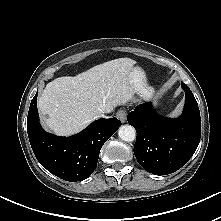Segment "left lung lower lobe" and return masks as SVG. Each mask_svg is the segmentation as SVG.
<instances>
[{"label": "left lung lower lobe", "mask_w": 221, "mask_h": 221, "mask_svg": "<svg viewBox=\"0 0 221 221\" xmlns=\"http://www.w3.org/2000/svg\"><path fill=\"white\" fill-rule=\"evenodd\" d=\"M185 108L179 118L159 116L151 103L138 105L127 120L137 131L134 154L138 163L156 175L171 174L192 157L200 142L201 119L198 104L189 87Z\"/></svg>", "instance_id": "1"}]
</instances>
